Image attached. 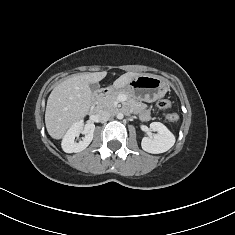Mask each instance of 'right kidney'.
Here are the masks:
<instances>
[{"label": "right kidney", "instance_id": "1", "mask_svg": "<svg viewBox=\"0 0 235 235\" xmlns=\"http://www.w3.org/2000/svg\"><path fill=\"white\" fill-rule=\"evenodd\" d=\"M95 125L92 123L82 126L81 122L73 124L65 134L62 141V149L66 153H78L86 149L93 139ZM84 134V137L79 142H75V137L79 134Z\"/></svg>", "mask_w": 235, "mask_h": 235}]
</instances>
